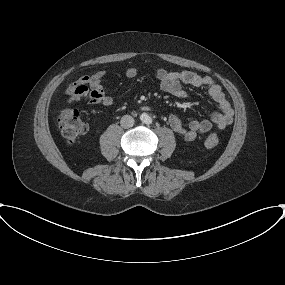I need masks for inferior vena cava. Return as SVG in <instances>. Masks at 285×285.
Masks as SVG:
<instances>
[{"label": "inferior vena cava", "mask_w": 285, "mask_h": 285, "mask_svg": "<svg viewBox=\"0 0 285 285\" xmlns=\"http://www.w3.org/2000/svg\"><path fill=\"white\" fill-rule=\"evenodd\" d=\"M120 124L123 128H130L134 125V118L130 115H124L121 118Z\"/></svg>", "instance_id": "inferior-vena-cava-1"}]
</instances>
